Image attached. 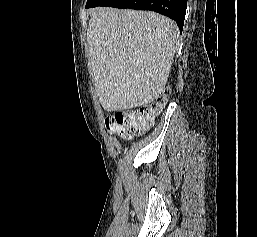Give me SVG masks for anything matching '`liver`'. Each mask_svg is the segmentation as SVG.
Masks as SVG:
<instances>
[{
  "label": "liver",
  "instance_id": "liver-1",
  "mask_svg": "<svg viewBox=\"0 0 257 237\" xmlns=\"http://www.w3.org/2000/svg\"><path fill=\"white\" fill-rule=\"evenodd\" d=\"M179 32L150 11L97 7L87 42L97 96L106 111L146 106L163 91Z\"/></svg>",
  "mask_w": 257,
  "mask_h": 237
}]
</instances>
